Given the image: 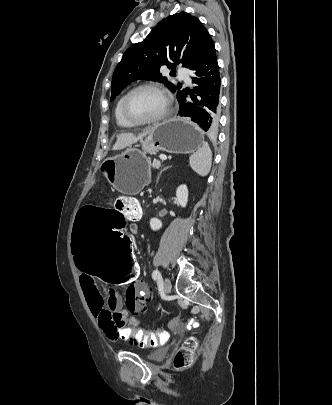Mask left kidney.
Here are the masks:
<instances>
[{"instance_id":"obj_1","label":"left kidney","mask_w":332,"mask_h":405,"mask_svg":"<svg viewBox=\"0 0 332 405\" xmlns=\"http://www.w3.org/2000/svg\"><path fill=\"white\" fill-rule=\"evenodd\" d=\"M176 199L178 201V204L181 207H186L187 202H188V188L185 184L180 185L177 190H176ZM150 227L153 231H157L161 229L162 227V222L161 220L157 218H152L150 220Z\"/></svg>"}]
</instances>
